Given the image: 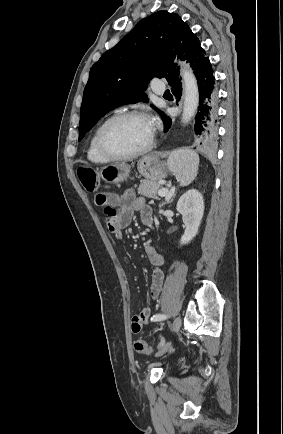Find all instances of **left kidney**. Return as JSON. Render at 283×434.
<instances>
[{
  "label": "left kidney",
  "instance_id": "1",
  "mask_svg": "<svg viewBox=\"0 0 283 434\" xmlns=\"http://www.w3.org/2000/svg\"><path fill=\"white\" fill-rule=\"evenodd\" d=\"M176 209L182 215L185 224L180 244H188L197 235L204 214L202 194L196 189L187 191L179 198Z\"/></svg>",
  "mask_w": 283,
  "mask_h": 434
}]
</instances>
